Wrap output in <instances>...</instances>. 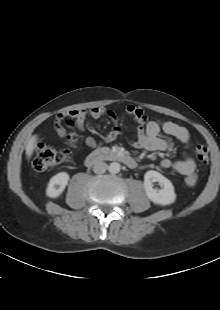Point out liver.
I'll return each instance as SVG.
<instances>
[{"instance_id":"liver-1","label":"liver","mask_w":220,"mask_h":310,"mask_svg":"<svg viewBox=\"0 0 220 310\" xmlns=\"http://www.w3.org/2000/svg\"><path fill=\"white\" fill-rule=\"evenodd\" d=\"M37 141H38L37 135H33L29 138V140L26 144V148H25L26 149V156L28 159L31 158L33 151L37 146Z\"/></svg>"}]
</instances>
